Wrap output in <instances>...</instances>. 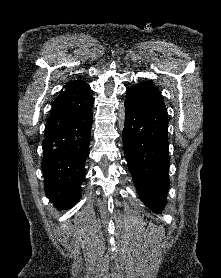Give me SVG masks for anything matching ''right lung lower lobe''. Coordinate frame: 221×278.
Here are the masks:
<instances>
[{
	"instance_id": "right-lung-lower-lobe-1",
	"label": "right lung lower lobe",
	"mask_w": 221,
	"mask_h": 278,
	"mask_svg": "<svg viewBox=\"0 0 221 278\" xmlns=\"http://www.w3.org/2000/svg\"><path fill=\"white\" fill-rule=\"evenodd\" d=\"M92 106L70 124L45 136L42 171L48 199L59 209H68L81 197L84 164L89 153Z\"/></svg>"
}]
</instances>
